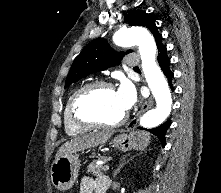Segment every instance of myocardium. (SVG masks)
Returning <instances> with one entry per match:
<instances>
[{
    "label": "myocardium",
    "instance_id": "f54148a6",
    "mask_svg": "<svg viewBox=\"0 0 221 193\" xmlns=\"http://www.w3.org/2000/svg\"><path fill=\"white\" fill-rule=\"evenodd\" d=\"M114 89L111 82L98 80L84 84L73 95L70 101V114L74 122L80 126L87 128H117L123 125L127 120L125 113L120 119L114 122H104L96 118L84 117L80 114V104L82 100L97 89Z\"/></svg>",
    "mask_w": 221,
    "mask_h": 193
}]
</instances>
